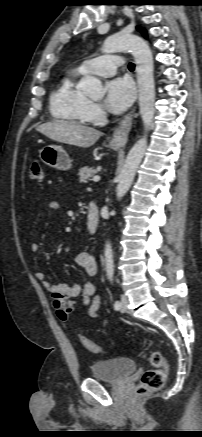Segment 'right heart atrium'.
<instances>
[{"label":"right heart atrium","mask_w":202,"mask_h":437,"mask_svg":"<svg viewBox=\"0 0 202 437\" xmlns=\"http://www.w3.org/2000/svg\"><path fill=\"white\" fill-rule=\"evenodd\" d=\"M89 115L91 118L98 119L102 116L101 107L98 104L90 103Z\"/></svg>","instance_id":"1"}]
</instances>
